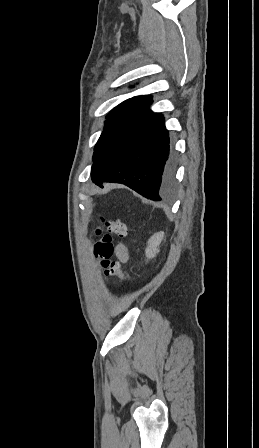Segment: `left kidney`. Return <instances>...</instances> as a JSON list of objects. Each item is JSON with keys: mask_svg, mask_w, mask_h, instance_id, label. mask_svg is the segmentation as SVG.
Wrapping results in <instances>:
<instances>
[{"mask_svg": "<svg viewBox=\"0 0 259 448\" xmlns=\"http://www.w3.org/2000/svg\"><path fill=\"white\" fill-rule=\"evenodd\" d=\"M164 238V232H157L154 236H151L148 240V246L145 250V256L148 260L155 258L156 254L159 252V246Z\"/></svg>", "mask_w": 259, "mask_h": 448, "instance_id": "obj_1", "label": "left kidney"}]
</instances>
